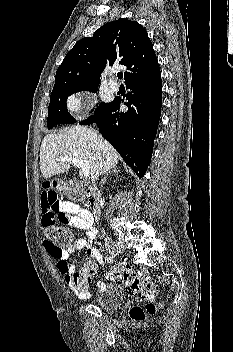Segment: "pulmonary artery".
I'll return each mask as SVG.
<instances>
[{"label": "pulmonary artery", "mask_w": 233, "mask_h": 352, "mask_svg": "<svg viewBox=\"0 0 233 352\" xmlns=\"http://www.w3.org/2000/svg\"><path fill=\"white\" fill-rule=\"evenodd\" d=\"M119 83L115 80H110L109 81V88L112 90V91H118L119 90Z\"/></svg>", "instance_id": "pulmonary-artery-1"}]
</instances>
